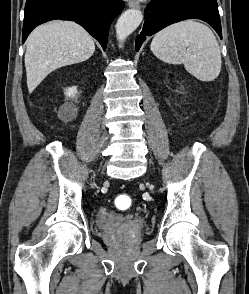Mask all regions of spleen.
<instances>
[{
	"label": "spleen",
	"mask_w": 249,
	"mask_h": 294,
	"mask_svg": "<svg viewBox=\"0 0 249 294\" xmlns=\"http://www.w3.org/2000/svg\"><path fill=\"white\" fill-rule=\"evenodd\" d=\"M150 49L160 60L183 64L201 81H213L221 70V51L209 27L194 20L174 23L153 38Z\"/></svg>",
	"instance_id": "3e777b00"
}]
</instances>
